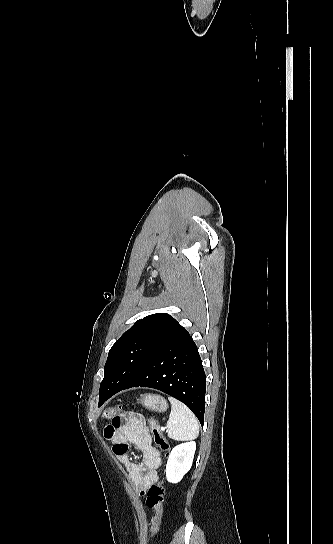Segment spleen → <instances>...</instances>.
Instances as JSON below:
<instances>
[{"mask_svg":"<svg viewBox=\"0 0 333 544\" xmlns=\"http://www.w3.org/2000/svg\"><path fill=\"white\" fill-rule=\"evenodd\" d=\"M171 412L167 421L168 437L175 440L195 439L199 433L198 420L192 411L179 400L168 397Z\"/></svg>","mask_w":333,"mask_h":544,"instance_id":"spleen-1","label":"spleen"}]
</instances>
